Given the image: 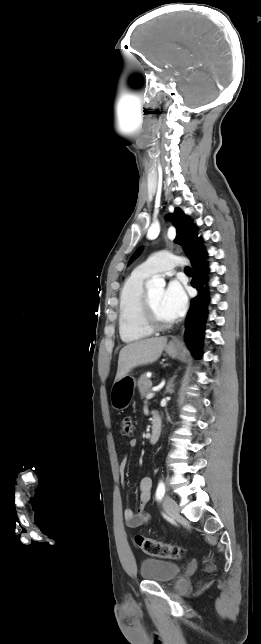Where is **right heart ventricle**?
<instances>
[{
  "mask_svg": "<svg viewBox=\"0 0 261 644\" xmlns=\"http://www.w3.org/2000/svg\"><path fill=\"white\" fill-rule=\"evenodd\" d=\"M148 277V274L137 269L125 280L121 288L118 329L120 338L125 343L138 342L152 333L142 319L144 282Z\"/></svg>",
  "mask_w": 261,
  "mask_h": 644,
  "instance_id": "1",
  "label": "right heart ventricle"
}]
</instances>
